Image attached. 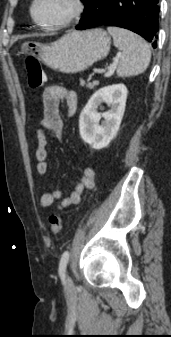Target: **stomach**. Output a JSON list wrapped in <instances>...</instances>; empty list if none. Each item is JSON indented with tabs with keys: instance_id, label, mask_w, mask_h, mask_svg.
Wrapping results in <instances>:
<instances>
[{
	"instance_id": "stomach-1",
	"label": "stomach",
	"mask_w": 171,
	"mask_h": 337,
	"mask_svg": "<svg viewBox=\"0 0 171 337\" xmlns=\"http://www.w3.org/2000/svg\"><path fill=\"white\" fill-rule=\"evenodd\" d=\"M110 36L103 29L71 31L49 45L24 42V54H37L50 68L63 73L84 71L96 61L104 59L110 50Z\"/></svg>"
}]
</instances>
